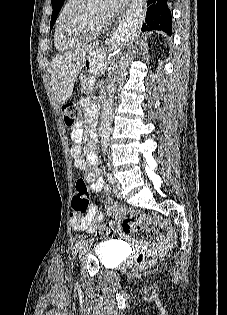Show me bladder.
<instances>
[{"label": "bladder", "instance_id": "obj_1", "mask_svg": "<svg viewBox=\"0 0 227 315\" xmlns=\"http://www.w3.org/2000/svg\"><path fill=\"white\" fill-rule=\"evenodd\" d=\"M95 253L100 264L106 268L117 267L124 258L123 250L113 242L98 244Z\"/></svg>", "mask_w": 227, "mask_h": 315}]
</instances>
